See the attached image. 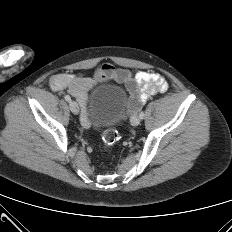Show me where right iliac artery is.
Instances as JSON below:
<instances>
[{
    "instance_id": "obj_1",
    "label": "right iliac artery",
    "mask_w": 232,
    "mask_h": 232,
    "mask_svg": "<svg viewBox=\"0 0 232 232\" xmlns=\"http://www.w3.org/2000/svg\"><path fill=\"white\" fill-rule=\"evenodd\" d=\"M64 98H65V100H66V101H68V102H69V101H71V98H70V96H69V95H65V97H64Z\"/></svg>"
}]
</instances>
